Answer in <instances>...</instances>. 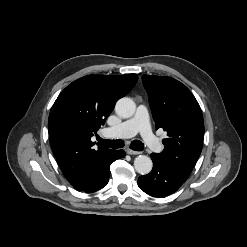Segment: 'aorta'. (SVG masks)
Wrapping results in <instances>:
<instances>
[{
  "mask_svg": "<svg viewBox=\"0 0 247 247\" xmlns=\"http://www.w3.org/2000/svg\"><path fill=\"white\" fill-rule=\"evenodd\" d=\"M136 111L135 102L128 97L119 99L115 105V112L122 118H130ZM153 163L151 158L146 155H139L134 160L135 170L142 175H146L151 172Z\"/></svg>",
  "mask_w": 247,
  "mask_h": 247,
  "instance_id": "1",
  "label": "aorta"
}]
</instances>
